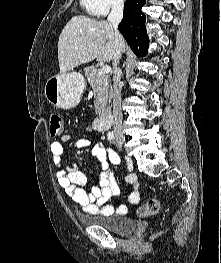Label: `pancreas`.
Listing matches in <instances>:
<instances>
[{
	"label": "pancreas",
	"instance_id": "cf45deb5",
	"mask_svg": "<svg viewBox=\"0 0 221 263\" xmlns=\"http://www.w3.org/2000/svg\"><path fill=\"white\" fill-rule=\"evenodd\" d=\"M84 73L93 89L95 113L100 115L111 101L112 89L109 79L106 75L97 76L98 71L93 66L86 67Z\"/></svg>",
	"mask_w": 221,
	"mask_h": 263
}]
</instances>
